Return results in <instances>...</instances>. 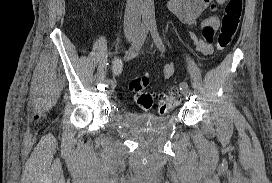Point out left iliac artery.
I'll return each instance as SVG.
<instances>
[{"label": "left iliac artery", "mask_w": 272, "mask_h": 183, "mask_svg": "<svg viewBox=\"0 0 272 183\" xmlns=\"http://www.w3.org/2000/svg\"><path fill=\"white\" fill-rule=\"evenodd\" d=\"M150 32H151L152 38H153L157 48L160 51L164 52L165 51V46H164V44L162 42V39H161V37L159 35V32L157 30V26H156L155 23L150 24ZM187 88H188V84L186 82H181L180 83V90L183 91L184 89H187Z\"/></svg>", "instance_id": "1"}]
</instances>
